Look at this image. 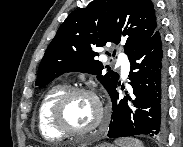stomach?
<instances>
[{"label": "stomach", "instance_id": "stomach-1", "mask_svg": "<svg viewBox=\"0 0 183 147\" xmlns=\"http://www.w3.org/2000/svg\"><path fill=\"white\" fill-rule=\"evenodd\" d=\"M95 147H115V146L110 143L104 142V143L96 145Z\"/></svg>", "mask_w": 183, "mask_h": 147}]
</instances>
